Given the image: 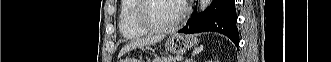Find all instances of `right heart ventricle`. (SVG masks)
<instances>
[{
	"mask_svg": "<svg viewBox=\"0 0 331 62\" xmlns=\"http://www.w3.org/2000/svg\"><path fill=\"white\" fill-rule=\"evenodd\" d=\"M138 0H122L120 3L119 31L127 40H135L146 34L135 22Z\"/></svg>",
	"mask_w": 331,
	"mask_h": 62,
	"instance_id": "obj_1",
	"label": "right heart ventricle"
}]
</instances>
